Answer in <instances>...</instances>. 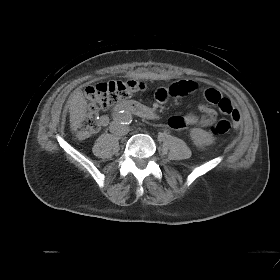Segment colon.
I'll return each instance as SVG.
<instances>
[{"label": "colon", "mask_w": 280, "mask_h": 280, "mask_svg": "<svg viewBox=\"0 0 280 280\" xmlns=\"http://www.w3.org/2000/svg\"><path fill=\"white\" fill-rule=\"evenodd\" d=\"M144 89L145 85L136 80H112L87 87L85 95L89 101V108L82 122L83 129L90 132L97 130L100 125L99 111L108 109L119 101L127 99ZM211 95L214 96V102L218 106L229 109L228 101L218 99L212 93ZM228 115H230L231 120L222 119L216 123L211 128L213 134L221 135L228 132L232 127L237 128L239 126V114L231 111Z\"/></svg>", "instance_id": "colon-1"}]
</instances>
